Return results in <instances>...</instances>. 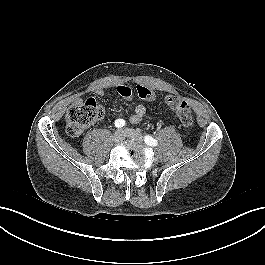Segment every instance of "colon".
<instances>
[{
	"label": "colon",
	"instance_id": "5ec220e1",
	"mask_svg": "<svg viewBox=\"0 0 265 265\" xmlns=\"http://www.w3.org/2000/svg\"><path fill=\"white\" fill-rule=\"evenodd\" d=\"M136 93L142 100L153 101L156 97L154 91L147 86L137 85ZM165 103L172 108L179 121L184 126L193 123L192 110L189 103L175 95H168L164 99ZM102 106L93 99H89L82 104L73 105L66 113V130L71 137H78L93 122L103 116Z\"/></svg>",
	"mask_w": 265,
	"mask_h": 265
}]
</instances>
